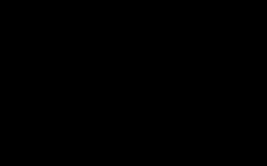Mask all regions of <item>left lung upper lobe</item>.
<instances>
[{"label": "left lung upper lobe", "mask_w": 267, "mask_h": 166, "mask_svg": "<svg viewBox=\"0 0 267 166\" xmlns=\"http://www.w3.org/2000/svg\"><path fill=\"white\" fill-rule=\"evenodd\" d=\"M175 27H178V24H173ZM213 51L212 50H207V48L203 49V54L202 56H207V55H212ZM179 65V64H178Z\"/></svg>", "instance_id": "left-lung-upper-lobe-1"}]
</instances>
